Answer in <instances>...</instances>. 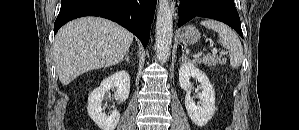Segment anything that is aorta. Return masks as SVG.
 <instances>
[{
  "label": "aorta",
  "mask_w": 299,
  "mask_h": 130,
  "mask_svg": "<svg viewBox=\"0 0 299 130\" xmlns=\"http://www.w3.org/2000/svg\"><path fill=\"white\" fill-rule=\"evenodd\" d=\"M173 36V13L168 0H160L156 20V53L160 61L166 62L170 56Z\"/></svg>",
  "instance_id": "762f6f07"
}]
</instances>
